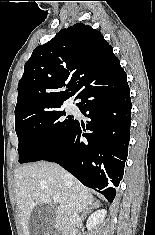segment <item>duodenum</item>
Wrapping results in <instances>:
<instances>
[{
	"mask_svg": "<svg viewBox=\"0 0 155 235\" xmlns=\"http://www.w3.org/2000/svg\"><path fill=\"white\" fill-rule=\"evenodd\" d=\"M58 228L62 235H78L77 231L66 223L59 224Z\"/></svg>",
	"mask_w": 155,
	"mask_h": 235,
	"instance_id": "obj_1",
	"label": "duodenum"
}]
</instances>
